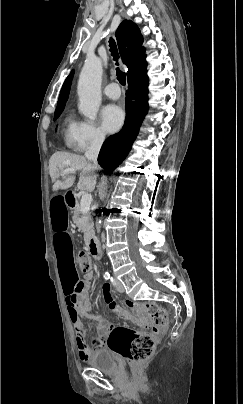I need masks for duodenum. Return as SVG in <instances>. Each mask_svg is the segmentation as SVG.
<instances>
[{
	"mask_svg": "<svg viewBox=\"0 0 243 404\" xmlns=\"http://www.w3.org/2000/svg\"><path fill=\"white\" fill-rule=\"evenodd\" d=\"M66 201L70 209L76 210L78 208V199L77 195L72 191L68 190L66 191ZM88 250L90 254L95 258V259H100V250L98 243L95 239H90L87 244Z\"/></svg>",
	"mask_w": 243,
	"mask_h": 404,
	"instance_id": "duodenum-1",
	"label": "duodenum"
}]
</instances>
